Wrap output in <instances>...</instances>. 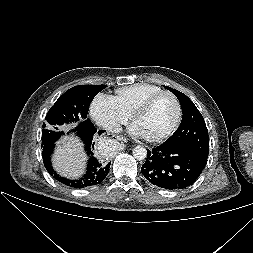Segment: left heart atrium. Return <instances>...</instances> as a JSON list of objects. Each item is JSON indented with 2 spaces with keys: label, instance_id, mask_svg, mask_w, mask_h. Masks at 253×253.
Returning <instances> with one entry per match:
<instances>
[{
  "label": "left heart atrium",
  "instance_id": "left-heart-atrium-1",
  "mask_svg": "<svg viewBox=\"0 0 253 253\" xmlns=\"http://www.w3.org/2000/svg\"><path fill=\"white\" fill-rule=\"evenodd\" d=\"M130 133L133 135V136H136V137H146L144 135V133L140 130V128L133 124L130 129H129Z\"/></svg>",
  "mask_w": 253,
  "mask_h": 253
}]
</instances>
